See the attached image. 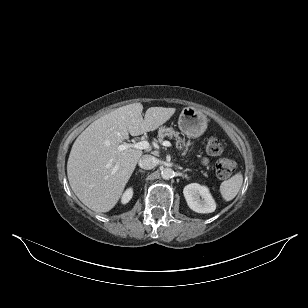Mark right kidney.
Returning a JSON list of instances; mask_svg holds the SVG:
<instances>
[{"label": "right kidney", "mask_w": 308, "mask_h": 308, "mask_svg": "<svg viewBox=\"0 0 308 308\" xmlns=\"http://www.w3.org/2000/svg\"><path fill=\"white\" fill-rule=\"evenodd\" d=\"M132 196H133V189L132 188H128L125 191V193L123 194L121 202L123 204L128 203L131 200Z\"/></svg>", "instance_id": "1"}]
</instances>
